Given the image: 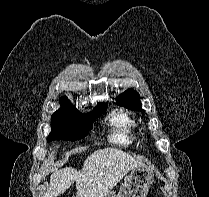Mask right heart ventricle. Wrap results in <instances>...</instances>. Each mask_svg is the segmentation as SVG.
Returning a JSON list of instances; mask_svg holds the SVG:
<instances>
[{"label":"right heart ventricle","instance_id":"obj_1","mask_svg":"<svg viewBox=\"0 0 209 197\" xmlns=\"http://www.w3.org/2000/svg\"><path fill=\"white\" fill-rule=\"evenodd\" d=\"M110 123L113 126L112 140L114 142L126 145L137 138L136 123L128 112L124 110L114 112L110 116Z\"/></svg>","mask_w":209,"mask_h":197}]
</instances>
